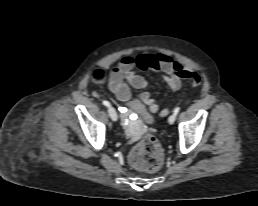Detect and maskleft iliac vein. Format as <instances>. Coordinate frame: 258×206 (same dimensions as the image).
Returning a JSON list of instances; mask_svg holds the SVG:
<instances>
[{"instance_id": "1", "label": "left iliac vein", "mask_w": 258, "mask_h": 206, "mask_svg": "<svg viewBox=\"0 0 258 206\" xmlns=\"http://www.w3.org/2000/svg\"><path fill=\"white\" fill-rule=\"evenodd\" d=\"M176 120V115L172 114L169 118H168V122L169 124H173Z\"/></svg>"}]
</instances>
